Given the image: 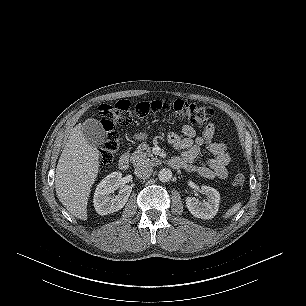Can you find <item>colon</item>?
Returning a JSON list of instances; mask_svg holds the SVG:
<instances>
[{"label":"colon","instance_id":"obj_1","mask_svg":"<svg viewBox=\"0 0 306 306\" xmlns=\"http://www.w3.org/2000/svg\"><path fill=\"white\" fill-rule=\"evenodd\" d=\"M172 113L191 124H203L213 117V110L208 106L175 100L172 102L152 101L132 105L128 101H120L115 105L102 104L99 107L101 126L105 132V140L100 149V161L108 165L119 149V135L116 125H128L136 118H144L150 113ZM245 176L238 173L233 180L235 186H242Z\"/></svg>","mask_w":306,"mask_h":306}]
</instances>
